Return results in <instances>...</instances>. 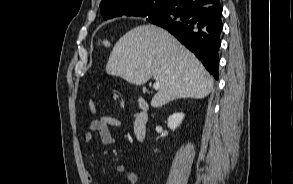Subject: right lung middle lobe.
Here are the masks:
<instances>
[{"label":"right lung middle lobe","instance_id":"dd1d6c3e","mask_svg":"<svg viewBox=\"0 0 293 184\" xmlns=\"http://www.w3.org/2000/svg\"><path fill=\"white\" fill-rule=\"evenodd\" d=\"M163 15L162 12H159L157 10L154 9H149V10H144L140 16L142 17H146L149 16V18H147V20H152V19H158Z\"/></svg>","mask_w":293,"mask_h":184}]
</instances>
